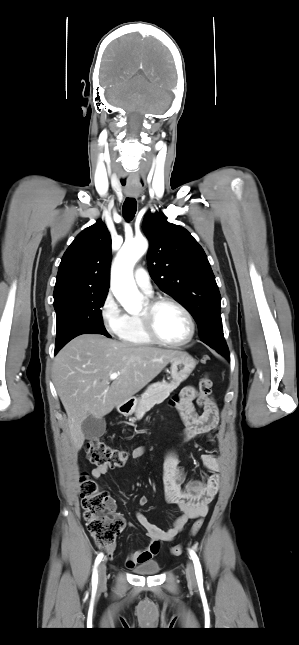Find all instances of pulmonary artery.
Listing matches in <instances>:
<instances>
[{
  "label": "pulmonary artery",
  "instance_id": "1",
  "mask_svg": "<svg viewBox=\"0 0 299 645\" xmlns=\"http://www.w3.org/2000/svg\"><path fill=\"white\" fill-rule=\"evenodd\" d=\"M134 278L137 283V285L146 293V294H151L152 293V286H151V281L149 274L147 271L139 267L135 270L134 273Z\"/></svg>",
  "mask_w": 299,
  "mask_h": 645
}]
</instances>
